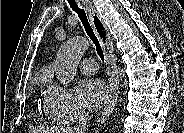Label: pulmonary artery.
<instances>
[{
  "label": "pulmonary artery",
  "instance_id": "e3ab8cb5",
  "mask_svg": "<svg viewBox=\"0 0 184 133\" xmlns=\"http://www.w3.org/2000/svg\"><path fill=\"white\" fill-rule=\"evenodd\" d=\"M80 70L85 74H94L97 72V63L94 59H83L79 64Z\"/></svg>",
  "mask_w": 184,
  "mask_h": 133
}]
</instances>
